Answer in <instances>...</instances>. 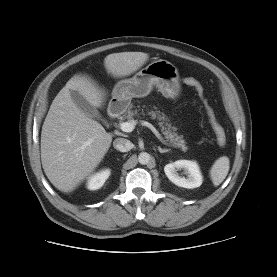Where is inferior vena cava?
Instances as JSON below:
<instances>
[{
	"label": "inferior vena cava",
	"mask_w": 277,
	"mask_h": 277,
	"mask_svg": "<svg viewBox=\"0 0 277 277\" xmlns=\"http://www.w3.org/2000/svg\"><path fill=\"white\" fill-rule=\"evenodd\" d=\"M113 146L115 149L121 152H128L134 147L133 143L125 138L115 139L113 142Z\"/></svg>",
	"instance_id": "1"
}]
</instances>
